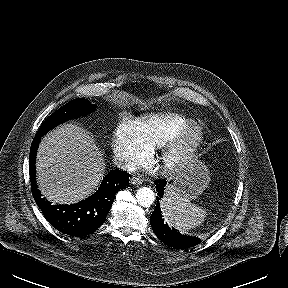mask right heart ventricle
<instances>
[{
    "label": "right heart ventricle",
    "instance_id": "right-heart-ventricle-1",
    "mask_svg": "<svg viewBox=\"0 0 288 288\" xmlns=\"http://www.w3.org/2000/svg\"><path fill=\"white\" fill-rule=\"evenodd\" d=\"M190 119L177 113H155L141 118L138 122L142 136L152 147H161L177 130Z\"/></svg>",
    "mask_w": 288,
    "mask_h": 288
}]
</instances>
